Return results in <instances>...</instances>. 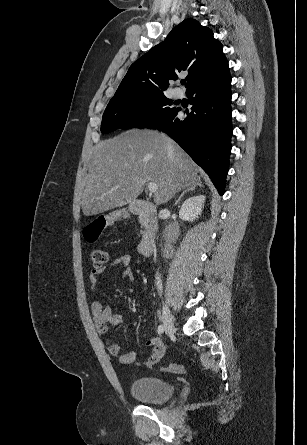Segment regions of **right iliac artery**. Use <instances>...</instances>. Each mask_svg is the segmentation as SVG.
<instances>
[{
  "mask_svg": "<svg viewBox=\"0 0 307 445\" xmlns=\"http://www.w3.org/2000/svg\"><path fill=\"white\" fill-rule=\"evenodd\" d=\"M157 331H158L159 334L163 333L164 332V327L162 325H159Z\"/></svg>",
  "mask_w": 307,
  "mask_h": 445,
  "instance_id": "right-iliac-artery-1",
  "label": "right iliac artery"
}]
</instances>
